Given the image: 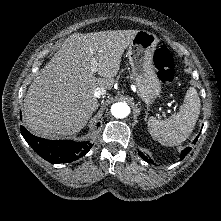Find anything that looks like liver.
Wrapping results in <instances>:
<instances>
[{"label":"liver","instance_id":"liver-1","mask_svg":"<svg viewBox=\"0 0 221 221\" xmlns=\"http://www.w3.org/2000/svg\"><path fill=\"white\" fill-rule=\"evenodd\" d=\"M137 33L71 34L28 88L23 104L27 127L47 138L82 130L99 106L95 89L113 87L122 55ZM92 59L98 63L99 78L91 71Z\"/></svg>","mask_w":221,"mask_h":221}]
</instances>
